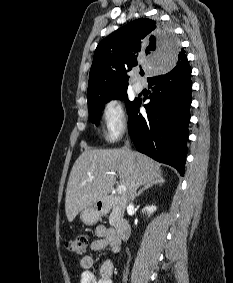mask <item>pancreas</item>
<instances>
[{"instance_id":"pancreas-1","label":"pancreas","mask_w":233,"mask_h":283,"mask_svg":"<svg viewBox=\"0 0 233 283\" xmlns=\"http://www.w3.org/2000/svg\"><path fill=\"white\" fill-rule=\"evenodd\" d=\"M120 216V213L118 211V209L116 207L113 208L110 217H109V223L110 225L114 226L115 225V221L117 220V218Z\"/></svg>"}]
</instances>
